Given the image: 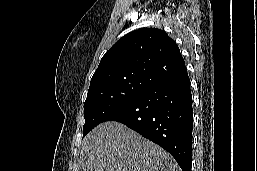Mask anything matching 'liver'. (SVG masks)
Returning <instances> with one entry per match:
<instances>
[{
	"mask_svg": "<svg viewBox=\"0 0 257 171\" xmlns=\"http://www.w3.org/2000/svg\"><path fill=\"white\" fill-rule=\"evenodd\" d=\"M76 171H181L161 147L114 121L95 127L83 140Z\"/></svg>",
	"mask_w": 257,
	"mask_h": 171,
	"instance_id": "6515ba94",
	"label": "liver"
}]
</instances>
